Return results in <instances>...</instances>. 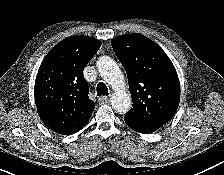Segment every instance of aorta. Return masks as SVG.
Returning <instances> with one entry per match:
<instances>
[{
  "label": "aorta",
  "instance_id": "aorta-1",
  "mask_svg": "<svg viewBox=\"0 0 224 175\" xmlns=\"http://www.w3.org/2000/svg\"><path fill=\"white\" fill-rule=\"evenodd\" d=\"M97 69L104 79L113 89L110 102L114 110L123 114L131 108L130 95L125 91L124 76L117 63L108 56H102L97 60Z\"/></svg>",
  "mask_w": 224,
  "mask_h": 175
}]
</instances>
